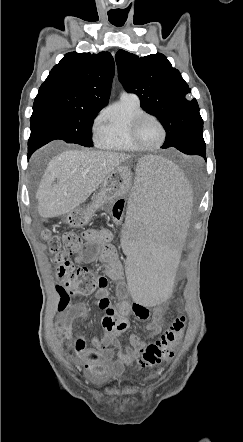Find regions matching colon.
<instances>
[{"instance_id": "colon-1", "label": "colon", "mask_w": 243, "mask_h": 442, "mask_svg": "<svg viewBox=\"0 0 243 442\" xmlns=\"http://www.w3.org/2000/svg\"><path fill=\"white\" fill-rule=\"evenodd\" d=\"M124 206L123 200L115 203L113 209L115 223L122 222ZM42 237L47 241L59 281L56 286L60 296L59 307L67 306L69 296L89 295L98 289L96 286L98 276L87 266H75L70 260L72 255L79 256L82 250L83 242L79 235L68 231L59 237L49 230H44ZM185 326V316L175 317L160 338L145 347L141 357L137 358V365L140 368H150L170 359L183 337Z\"/></svg>"}]
</instances>
